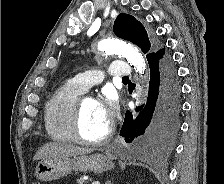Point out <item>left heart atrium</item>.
Instances as JSON below:
<instances>
[{
	"label": "left heart atrium",
	"mask_w": 224,
	"mask_h": 184,
	"mask_svg": "<svg viewBox=\"0 0 224 184\" xmlns=\"http://www.w3.org/2000/svg\"><path fill=\"white\" fill-rule=\"evenodd\" d=\"M98 110L103 116V118L110 122L114 118L115 110H116V104L115 100L112 96H107L105 99L98 101Z\"/></svg>",
	"instance_id": "left-heart-atrium-1"
}]
</instances>
